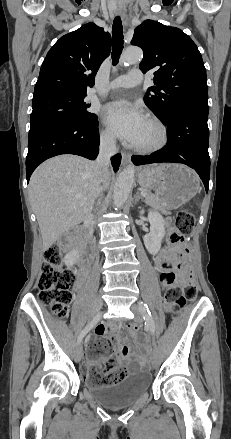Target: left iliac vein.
I'll return each instance as SVG.
<instances>
[{"label":"left iliac vein","instance_id":"obj_1","mask_svg":"<svg viewBox=\"0 0 231 439\" xmlns=\"http://www.w3.org/2000/svg\"><path fill=\"white\" fill-rule=\"evenodd\" d=\"M131 309L135 314V320L137 322H142V320H143L142 317L144 316L143 308L140 305L134 304V305H132ZM151 363H152L153 368H158L160 365V353H159L156 346L154 347V350H153V353L151 356Z\"/></svg>","mask_w":231,"mask_h":439}]
</instances>
